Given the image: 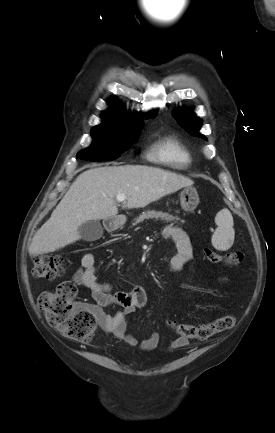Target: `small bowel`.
Wrapping results in <instances>:
<instances>
[{
    "label": "small bowel",
    "mask_w": 275,
    "mask_h": 433,
    "mask_svg": "<svg viewBox=\"0 0 275 433\" xmlns=\"http://www.w3.org/2000/svg\"><path fill=\"white\" fill-rule=\"evenodd\" d=\"M163 237L174 243L175 252L168 259L173 271H178L193 256L192 247L187 234L179 227L167 225L163 230ZM73 282L89 290L94 303L88 308L94 313L102 330L130 346L137 345V339L127 332L128 317L136 310L148 304L146 291L142 286L136 285L129 290H114L113 285L99 282L96 277V259L93 253H85L81 258V268L73 276ZM120 306L122 309L114 314H107L104 308ZM160 334L153 332L140 343L144 351H152L159 346ZM188 340L178 337L173 340L170 350L186 347Z\"/></svg>",
    "instance_id": "c3829d8e"
}]
</instances>
